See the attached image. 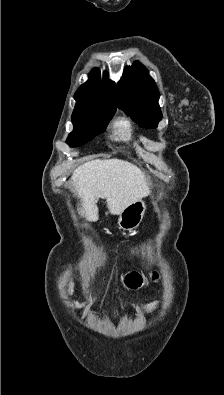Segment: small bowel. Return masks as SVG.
I'll list each match as a JSON object with an SVG mask.
<instances>
[{"label":"small bowel","mask_w":224,"mask_h":395,"mask_svg":"<svg viewBox=\"0 0 224 395\" xmlns=\"http://www.w3.org/2000/svg\"><path fill=\"white\" fill-rule=\"evenodd\" d=\"M82 305H93V306H95V307L100 306L99 303H95V302H88V303L78 304L77 306H82ZM155 306H156L155 304H150V305H148V306L146 307V310H147V311H152V310L154 309Z\"/></svg>","instance_id":"obj_1"}]
</instances>
